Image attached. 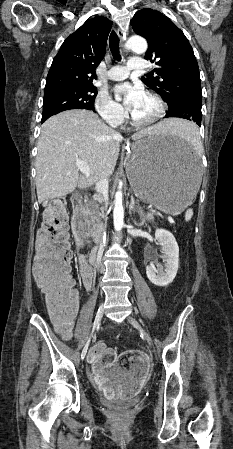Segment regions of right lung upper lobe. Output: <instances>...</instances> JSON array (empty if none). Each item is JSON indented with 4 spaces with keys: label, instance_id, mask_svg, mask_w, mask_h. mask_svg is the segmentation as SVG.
Listing matches in <instances>:
<instances>
[{
    "label": "right lung upper lobe",
    "instance_id": "right-lung-upper-lobe-1",
    "mask_svg": "<svg viewBox=\"0 0 233 449\" xmlns=\"http://www.w3.org/2000/svg\"><path fill=\"white\" fill-rule=\"evenodd\" d=\"M112 23L97 16L87 20L62 44L46 79L45 92L93 85L95 69L103 59Z\"/></svg>",
    "mask_w": 233,
    "mask_h": 449
}]
</instances>
